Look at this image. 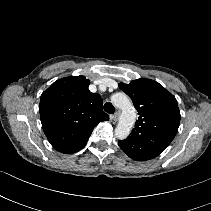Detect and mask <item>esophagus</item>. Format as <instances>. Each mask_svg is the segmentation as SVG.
<instances>
[{"label": "esophagus", "mask_w": 211, "mask_h": 211, "mask_svg": "<svg viewBox=\"0 0 211 211\" xmlns=\"http://www.w3.org/2000/svg\"><path fill=\"white\" fill-rule=\"evenodd\" d=\"M120 116V111H116L113 115H111V119L117 121Z\"/></svg>", "instance_id": "1"}]
</instances>
